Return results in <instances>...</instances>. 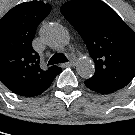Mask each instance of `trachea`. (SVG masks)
<instances>
[{
	"instance_id": "1",
	"label": "trachea",
	"mask_w": 135,
	"mask_h": 135,
	"mask_svg": "<svg viewBox=\"0 0 135 135\" xmlns=\"http://www.w3.org/2000/svg\"><path fill=\"white\" fill-rule=\"evenodd\" d=\"M65 62H68L66 56L63 53H56L50 58L48 65L65 63Z\"/></svg>"
}]
</instances>
